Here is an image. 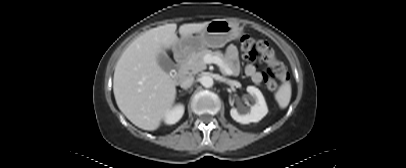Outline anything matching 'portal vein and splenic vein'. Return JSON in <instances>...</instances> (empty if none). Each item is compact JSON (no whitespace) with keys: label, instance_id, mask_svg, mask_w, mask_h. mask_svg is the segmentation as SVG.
Returning <instances> with one entry per match:
<instances>
[{"label":"portal vein and splenic vein","instance_id":"1","mask_svg":"<svg viewBox=\"0 0 406 168\" xmlns=\"http://www.w3.org/2000/svg\"><path fill=\"white\" fill-rule=\"evenodd\" d=\"M204 62L207 64H211V63L217 64L220 67V69L222 70V72L225 73L226 75L230 76L233 73L232 70L230 68L226 67L224 65L223 61L217 56L206 55L204 57Z\"/></svg>","mask_w":406,"mask_h":168}]
</instances>
